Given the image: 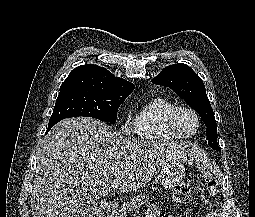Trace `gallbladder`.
<instances>
[{
	"label": "gallbladder",
	"instance_id": "1",
	"mask_svg": "<svg viewBox=\"0 0 255 217\" xmlns=\"http://www.w3.org/2000/svg\"><path fill=\"white\" fill-rule=\"evenodd\" d=\"M97 208L96 202L90 197H83L77 206L74 217H88L94 214Z\"/></svg>",
	"mask_w": 255,
	"mask_h": 217
}]
</instances>
